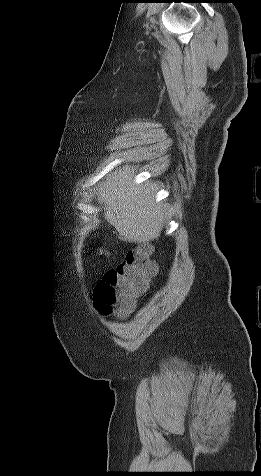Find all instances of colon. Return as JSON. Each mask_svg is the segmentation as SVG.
<instances>
[{
  "mask_svg": "<svg viewBox=\"0 0 261 476\" xmlns=\"http://www.w3.org/2000/svg\"><path fill=\"white\" fill-rule=\"evenodd\" d=\"M151 247L143 244L127 252L123 263L108 271L95 288L96 308L103 315L125 316L132 311L138 294L156 274Z\"/></svg>",
  "mask_w": 261,
  "mask_h": 476,
  "instance_id": "5ec220e1",
  "label": "colon"
}]
</instances>
